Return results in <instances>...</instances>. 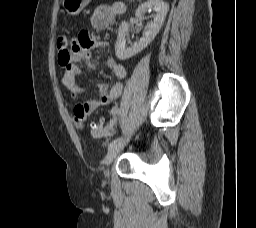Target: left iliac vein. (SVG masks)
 Listing matches in <instances>:
<instances>
[{"label":"left iliac vein","mask_w":256,"mask_h":228,"mask_svg":"<svg viewBox=\"0 0 256 228\" xmlns=\"http://www.w3.org/2000/svg\"><path fill=\"white\" fill-rule=\"evenodd\" d=\"M125 144H126V140L121 139L119 142H117L116 144L109 147L108 153L105 157V164L107 166L112 163L114 158L117 156V154L120 152V150L123 149ZM105 175L108 177L109 176V171H106Z\"/></svg>","instance_id":"obj_1"}]
</instances>
